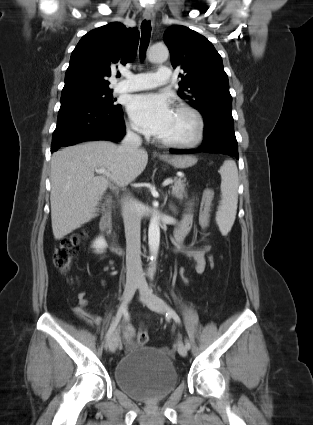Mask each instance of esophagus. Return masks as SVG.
I'll return each instance as SVG.
<instances>
[{
    "instance_id": "esophagus-1",
    "label": "esophagus",
    "mask_w": 313,
    "mask_h": 425,
    "mask_svg": "<svg viewBox=\"0 0 313 425\" xmlns=\"http://www.w3.org/2000/svg\"><path fill=\"white\" fill-rule=\"evenodd\" d=\"M143 17L146 20H154V17H155L154 11L151 8H147L143 13Z\"/></svg>"
}]
</instances>
